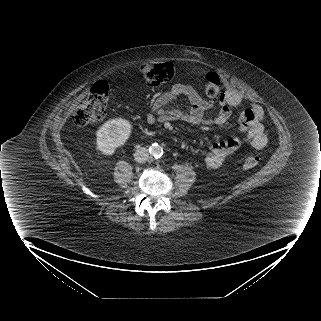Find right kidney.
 <instances>
[{
    "mask_svg": "<svg viewBox=\"0 0 321 321\" xmlns=\"http://www.w3.org/2000/svg\"><path fill=\"white\" fill-rule=\"evenodd\" d=\"M131 131L132 125L126 119L116 118L106 121L96 133L97 149L104 155H112L117 147L128 140Z\"/></svg>",
    "mask_w": 321,
    "mask_h": 321,
    "instance_id": "obj_1",
    "label": "right kidney"
}]
</instances>
